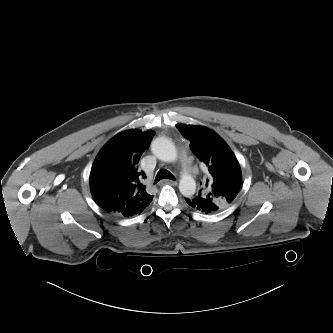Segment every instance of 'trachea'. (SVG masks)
Wrapping results in <instances>:
<instances>
[{
	"label": "trachea",
	"instance_id": "trachea-1",
	"mask_svg": "<svg viewBox=\"0 0 333 333\" xmlns=\"http://www.w3.org/2000/svg\"><path fill=\"white\" fill-rule=\"evenodd\" d=\"M162 179H171L175 180V177L166 169H161L156 175L155 183L159 182Z\"/></svg>",
	"mask_w": 333,
	"mask_h": 333
}]
</instances>
